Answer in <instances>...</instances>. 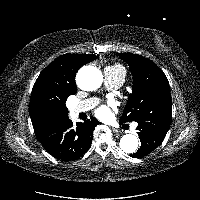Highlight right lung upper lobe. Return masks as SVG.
Returning a JSON list of instances; mask_svg holds the SVG:
<instances>
[{
    "label": "right lung upper lobe",
    "instance_id": "right-lung-upper-lobe-1",
    "mask_svg": "<svg viewBox=\"0 0 200 200\" xmlns=\"http://www.w3.org/2000/svg\"><path fill=\"white\" fill-rule=\"evenodd\" d=\"M96 58L91 54H64L40 73L33 86L29 105L34 130L48 119L55 118L48 112V107L62 103L76 93L75 75L78 69Z\"/></svg>",
    "mask_w": 200,
    "mask_h": 200
}]
</instances>
